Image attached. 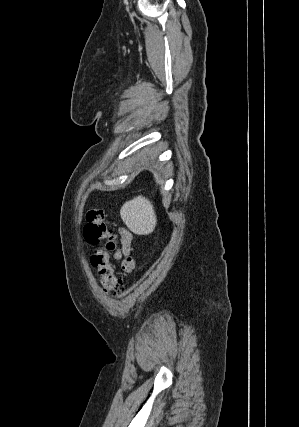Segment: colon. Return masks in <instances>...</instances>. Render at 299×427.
<instances>
[{"label": "colon", "mask_w": 299, "mask_h": 427, "mask_svg": "<svg viewBox=\"0 0 299 427\" xmlns=\"http://www.w3.org/2000/svg\"><path fill=\"white\" fill-rule=\"evenodd\" d=\"M84 236L86 241L93 246H98L105 241L104 247L95 248L91 261L97 268L103 291L113 295L121 294L124 291L123 279L116 276L115 269L110 262V253L117 248V237L110 229L102 208L93 207L88 210Z\"/></svg>", "instance_id": "colon-1"}]
</instances>
